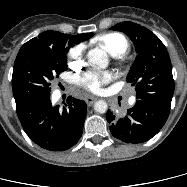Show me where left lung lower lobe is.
<instances>
[{"mask_svg": "<svg viewBox=\"0 0 187 187\" xmlns=\"http://www.w3.org/2000/svg\"><path fill=\"white\" fill-rule=\"evenodd\" d=\"M169 113L168 108L138 99L125 117L117 119L108 110L106 119L115 138L137 144L154 137L164 126Z\"/></svg>", "mask_w": 187, "mask_h": 187, "instance_id": "obj_1", "label": "left lung lower lobe"}]
</instances>
